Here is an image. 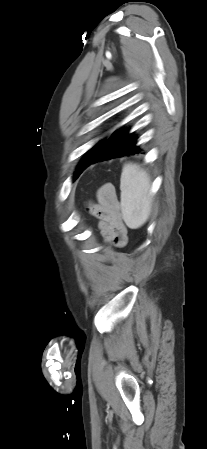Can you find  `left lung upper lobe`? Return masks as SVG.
I'll return each mask as SVG.
<instances>
[{
	"label": "left lung upper lobe",
	"mask_w": 207,
	"mask_h": 449,
	"mask_svg": "<svg viewBox=\"0 0 207 449\" xmlns=\"http://www.w3.org/2000/svg\"><path fill=\"white\" fill-rule=\"evenodd\" d=\"M103 145V140L96 144L87 154L83 157L75 172V179L80 173L88 166L89 162L97 155Z\"/></svg>",
	"instance_id": "left-lung-upper-lobe-1"
}]
</instances>
